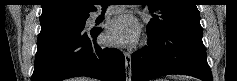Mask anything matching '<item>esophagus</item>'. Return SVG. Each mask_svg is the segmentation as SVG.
Wrapping results in <instances>:
<instances>
[{
    "mask_svg": "<svg viewBox=\"0 0 237 81\" xmlns=\"http://www.w3.org/2000/svg\"><path fill=\"white\" fill-rule=\"evenodd\" d=\"M125 69L127 73V81H131V53L130 52H125Z\"/></svg>",
    "mask_w": 237,
    "mask_h": 81,
    "instance_id": "34e87169",
    "label": "esophagus"
}]
</instances>
